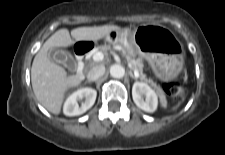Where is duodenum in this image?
Returning a JSON list of instances; mask_svg holds the SVG:
<instances>
[{"mask_svg": "<svg viewBox=\"0 0 225 155\" xmlns=\"http://www.w3.org/2000/svg\"><path fill=\"white\" fill-rule=\"evenodd\" d=\"M90 50H91V46L88 45L87 43H78L75 46V54H76V59H77V70H78V74L80 76L82 75V71H83V67H84V59Z\"/></svg>", "mask_w": 225, "mask_h": 155, "instance_id": "duodenum-1", "label": "duodenum"}]
</instances>
